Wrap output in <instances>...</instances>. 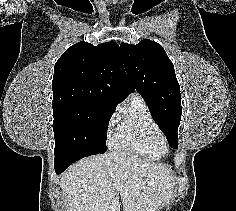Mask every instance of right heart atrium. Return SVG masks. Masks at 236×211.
Wrapping results in <instances>:
<instances>
[{
	"label": "right heart atrium",
	"mask_w": 236,
	"mask_h": 211,
	"mask_svg": "<svg viewBox=\"0 0 236 211\" xmlns=\"http://www.w3.org/2000/svg\"><path fill=\"white\" fill-rule=\"evenodd\" d=\"M114 124V118L111 116L108 121H107V125H106V131H107V134H111V128Z\"/></svg>",
	"instance_id": "d8ad5b80"
}]
</instances>
